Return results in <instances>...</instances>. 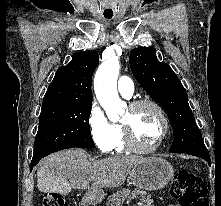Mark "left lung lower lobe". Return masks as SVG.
Returning <instances> with one entry per match:
<instances>
[{
  "label": "left lung lower lobe",
  "mask_w": 221,
  "mask_h": 206,
  "mask_svg": "<svg viewBox=\"0 0 221 206\" xmlns=\"http://www.w3.org/2000/svg\"><path fill=\"white\" fill-rule=\"evenodd\" d=\"M185 154H189V155H193V156H197V157L203 158L204 160H206L208 162L209 165H211L209 153L208 154H200V153H190V152H187Z\"/></svg>",
  "instance_id": "obj_1"
}]
</instances>
